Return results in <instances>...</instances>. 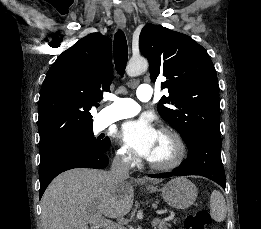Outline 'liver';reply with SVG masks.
Here are the masks:
<instances>
[{
  "instance_id": "6515ba94",
  "label": "liver",
  "mask_w": 261,
  "mask_h": 229,
  "mask_svg": "<svg viewBox=\"0 0 261 229\" xmlns=\"http://www.w3.org/2000/svg\"><path fill=\"white\" fill-rule=\"evenodd\" d=\"M162 183L160 179H134L116 183L107 171L71 169L56 177L41 201L42 229H88L98 219H123L132 209L134 183Z\"/></svg>"
}]
</instances>
